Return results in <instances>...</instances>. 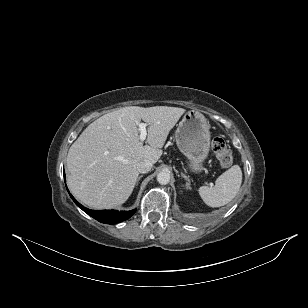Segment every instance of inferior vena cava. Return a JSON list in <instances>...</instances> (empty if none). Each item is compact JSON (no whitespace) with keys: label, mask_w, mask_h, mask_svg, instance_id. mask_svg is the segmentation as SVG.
I'll use <instances>...</instances> for the list:
<instances>
[{"label":"inferior vena cava","mask_w":308,"mask_h":308,"mask_svg":"<svg viewBox=\"0 0 308 308\" xmlns=\"http://www.w3.org/2000/svg\"><path fill=\"white\" fill-rule=\"evenodd\" d=\"M152 166L153 163L150 160L144 159L138 162L136 167L139 173H147L151 170Z\"/></svg>","instance_id":"602c4592"}]
</instances>
